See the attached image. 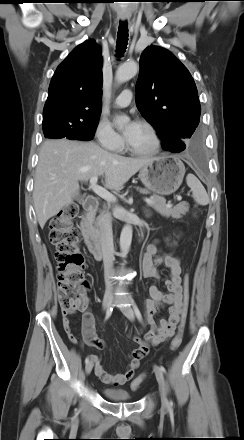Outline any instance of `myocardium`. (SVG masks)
Masks as SVG:
<instances>
[{
	"label": "myocardium",
	"mask_w": 244,
	"mask_h": 440,
	"mask_svg": "<svg viewBox=\"0 0 244 440\" xmlns=\"http://www.w3.org/2000/svg\"><path fill=\"white\" fill-rule=\"evenodd\" d=\"M140 126H142L143 128H145L148 133L150 134L153 144L152 147L150 149L147 150H139L136 149L134 147H132L128 141H126V148L129 152H131L134 155H139V156H149V155H153L155 153H157L162 145V140H161V136L158 132V130L156 129V127L151 124L150 122L147 121H140L138 123Z\"/></svg>",
	"instance_id": "obj_1"
}]
</instances>
